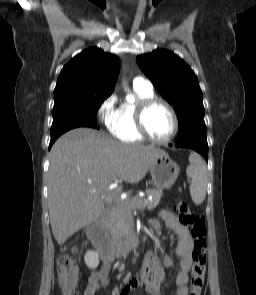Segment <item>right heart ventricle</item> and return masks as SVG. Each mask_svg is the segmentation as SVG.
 Instances as JSON below:
<instances>
[{"label":"right heart ventricle","mask_w":256,"mask_h":295,"mask_svg":"<svg viewBox=\"0 0 256 295\" xmlns=\"http://www.w3.org/2000/svg\"><path fill=\"white\" fill-rule=\"evenodd\" d=\"M137 102H124L117 109L113 119L109 124L111 133L119 140L126 143H139L144 141V137L136 127L135 110L138 102L154 97L153 90H146L134 87Z\"/></svg>","instance_id":"right-heart-ventricle-1"}]
</instances>
